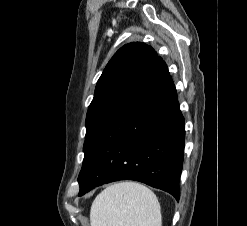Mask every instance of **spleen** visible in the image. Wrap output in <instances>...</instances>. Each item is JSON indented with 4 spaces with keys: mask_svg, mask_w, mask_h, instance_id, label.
I'll return each instance as SVG.
<instances>
[{
    "mask_svg": "<svg viewBox=\"0 0 247 226\" xmlns=\"http://www.w3.org/2000/svg\"><path fill=\"white\" fill-rule=\"evenodd\" d=\"M91 226H161L156 195L146 186L121 182L107 187L92 203Z\"/></svg>",
    "mask_w": 247,
    "mask_h": 226,
    "instance_id": "3e777b00",
    "label": "spleen"
}]
</instances>
